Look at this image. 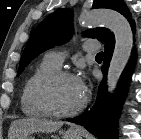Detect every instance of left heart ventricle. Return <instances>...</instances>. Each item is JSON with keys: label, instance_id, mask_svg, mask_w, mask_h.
<instances>
[{"label": "left heart ventricle", "instance_id": "obj_1", "mask_svg": "<svg viewBox=\"0 0 141 139\" xmlns=\"http://www.w3.org/2000/svg\"><path fill=\"white\" fill-rule=\"evenodd\" d=\"M77 78H63L52 89V101L59 111H69L77 107L83 100Z\"/></svg>", "mask_w": 141, "mask_h": 139}]
</instances>
